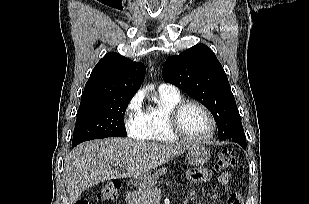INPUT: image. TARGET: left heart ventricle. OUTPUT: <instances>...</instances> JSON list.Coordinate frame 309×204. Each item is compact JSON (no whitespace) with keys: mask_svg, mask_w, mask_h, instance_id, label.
I'll return each mask as SVG.
<instances>
[{"mask_svg":"<svg viewBox=\"0 0 309 204\" xmlns=\"http://www.w3.org/2000/svg\"><path fill=\"white\" fill-rule=\"evenodd\" d=\"M180 123L183 130L192 137H205L210 131L206 114L195 105H188L182 112Z\"/></svg>","mask_w":309,"mask_h":204,"instance_id":"b2bd125f","label":"left heart ventricle"}]
</instances>
